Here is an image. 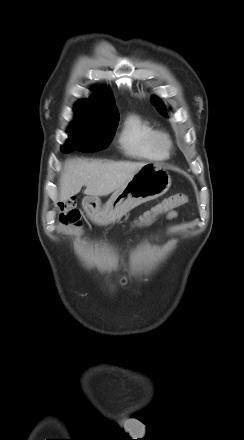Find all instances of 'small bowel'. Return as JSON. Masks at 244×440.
Here are the masks:
<instances>
[{"mask_svg": "<svg viewBox=\"0 0 244 440\" xmlns=\"http://www.w3.org/2000/svg\"><path fill=\"white\" fill-rule=\"evenodd\" d=\"M177 216V212L176 211H169L168 213H167V218L168 219H173V218H175Z\"/></svg>", "mask_w": 244, "mask_h": 440, "instance_id": "obj_1", "label": "small bowel"}]
</instances>
